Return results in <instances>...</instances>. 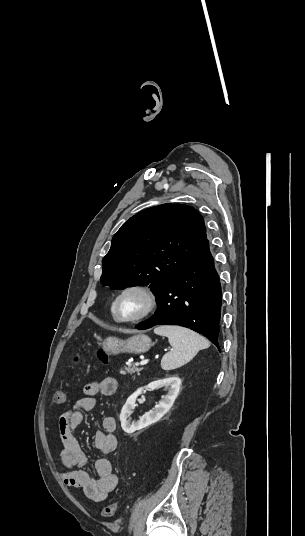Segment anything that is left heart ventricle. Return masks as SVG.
Segmentation results:
<instances>
[{
  "label": "left heart ventricle",
  "instance_id": "left-heart-ventricle-1",
  "mask_svg": "<svg viewBox=\"0 0 305 536\" xmlns=\"http://www.w3.org/2000/svg\"><path fill=\"white\" fill-rule=\"evenodd\" d=\"M119 315L130 319L141 315L147 308V297L139 290L126 292L118 303Z\"/></svg>",
  "mask_w": 305,
  "mask_h": 536
}]
</instances>
